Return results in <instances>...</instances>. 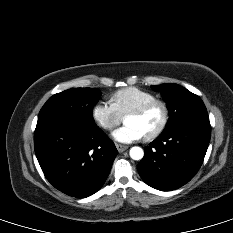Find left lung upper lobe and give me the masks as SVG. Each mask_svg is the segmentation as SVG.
Returning <instances> with one entry per match:
<instances>
[{
    "mask_svg": "<svg viewBox=\"0 0 233 233\" xmlns=\"http://www.w3.org/2000/svg\"><path fill=\"white\" fill-rule=\"evenodd\" d=\"M151 87L154 91L161 92L169 110V120L165 130L191 120H209L206 107L201 98L186 88L172 83Z\"/></svg>",
    "mask_w": 233,
    "mask_h": 233,
    "instance_id": "left-lung-upper-lobe-1",
    "label": "left lung upper lobe"
}]
</instances>
